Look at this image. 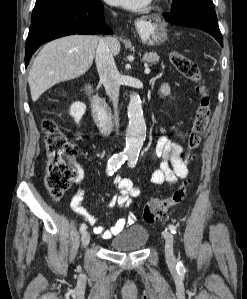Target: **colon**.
I'll return each mask as SVG.
<instances>
[{
  "label": "colon",
  "mask_w": 247,
  "mask_h": 299,
  "mask_svg": "<svg viewBox=\"0 0 247 299\" xmlns=\"http://www.w3.org/2000/svg\"><path fill=\"white\" fill-rule=\"evenodd\" d=\"M170 59L173 66L185 78L198 85V107L187 140L189 150L193 151L198 148L207 130L211 117V99L205 86L201 84V71L194 61L177 51L171 53ZM42 130L46 149L45 186L51 195L61 197L69 189L76 176L73 159L77 147L66 137L53 119H44ZM187 187L188 181H183L169 197L150 199L144 208V221L153 224L161 220L168 208L184 199Z\"/></svg>",
  "instance_id": "1"
}]
</instances>
